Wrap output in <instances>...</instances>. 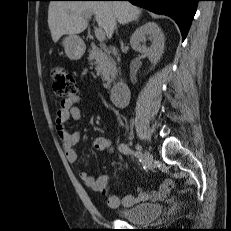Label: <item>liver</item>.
Wrapping results in <instances>:
<instances>
[{"mask_svg":"<svg viewBox=\"0 0 231 231\" xmlns=\"http://www.w3.org/2000/svg\"><path fill=\"white\" fill-rule=\"evenodd\" d=\"M141 9L127 1H51L48 8V26L52 40L61 36L76 35L88 26V19L95 15L99 27L110 39L113 20L126 24L139 18Z\"/></svg>","mask_w":231,"mask_h":231,"instance_id":"6515ba94","label":"liver"}]
</instances>
